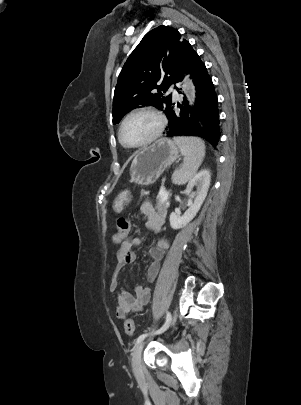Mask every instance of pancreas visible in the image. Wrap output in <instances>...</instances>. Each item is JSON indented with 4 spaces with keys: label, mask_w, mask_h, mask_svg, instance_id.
<instances>
[{
    "label": "pancreas",
    "mask_w": 301,
    "mask_h": 405,
    "mask_svg": "<svg viewBox=\"0 0 301 405\" xmlns=\"http://www.w3.org/2000/svg\"><path fill=\"white\" fill-rule=\"evenodd\" d=\"M167 199L162 200L160 195H159L158 201H157L156 206H155L159 213H166L167 208L169 206V202L167 201Z\"/></svg>",
    "instance_id": "pancreas-1"
}]
</instances>
